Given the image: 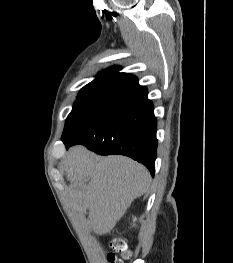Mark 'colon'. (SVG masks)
Returning a JSON list of instances; mask_svg holds the SVG:
<instances>
[{"label": "colon", "instance_id": "colon-1", "mask_svg": "<svg viewBox=\"0 0 233 263\" xmlns=\"http://www.w3.org/2000/svg\"><path fill=\"white\" fill-rule=\"evenodd\" d=\"M110 247L111 252L108 256L110 263H124L132 256V252L128 250L126 243L120 238L113 239Z\"/></svg>", "mask_w": 233, "mask_h": 263}]
</instances>
